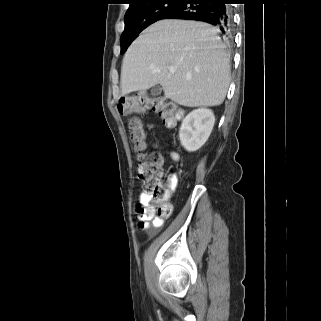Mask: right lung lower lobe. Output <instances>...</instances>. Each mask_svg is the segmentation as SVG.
I'll return each mask as SVG.
<instances>
[{
	"instance_id": "right-lung-lower-lobe-1",
	"label": "right lung lower lobe",
	"mask_w": 321,
	"mask_h": 321,
	"mask_svg": "<svg viewBox=\"0 0 321 321\" xmlns=\"http://www.w3.org/2000/svg\"><path fill=\"white\" fill-rule=\"evenodd\" d=\"M231 0H180L179 4L164 13L161 19H184L207 22L229 33L232 25Z\"/></svg>"
}]
</instances>
